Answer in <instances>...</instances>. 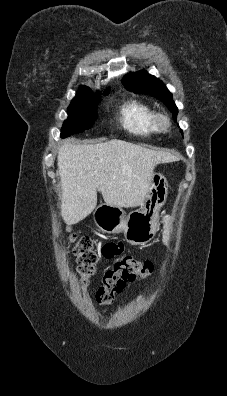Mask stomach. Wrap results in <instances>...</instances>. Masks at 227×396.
Segmentation results:
<instances>
[{"label": "stomach", "mask_w": 227, "mask_h": 396, "mask_svg": "<svg viewBox=\"0 0 227 396\" xmlns=\"http://www.w3.org/2000/svg\"><path fill=\"white\" fill-rule=\"evenodd\" d=\"M168 186L166 177L153 171L141 209L126 216L120 207L100 205L94 211L96 226L107 234L124 232L125 239L132 245L147 244L157 232L159 210L166 201Z\"/></svg>", "instance_id": "obj_1"}]
</instances>
